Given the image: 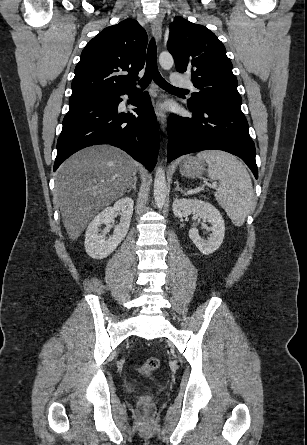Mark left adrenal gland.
Here are the masks:
<instances>
[{"label":"left adrenal gland","mask_w":307,"mask_h":445,"mask_svg":"<svg viewBox=\"0 0 307 445\" xmlns=\"http://www.w3.org/2000/svg\"><path fill=\"white\" fill-rule=\"evenodd\" d=\"M175 184H176L175 190H180V192H184V194H186L185 190H182V188H180L178 180H175Z\"/></svg>","instance_id":"1"}]
</instances>
